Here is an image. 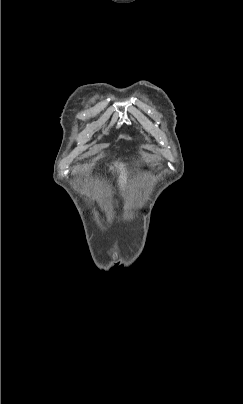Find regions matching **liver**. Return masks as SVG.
I'll return each instance as SVG.
<instances>
[{"mask_svg":"<svg viewBox=\"0 0 243 404\" xmlns=\"http://www.w3.org/2000/svg\"><path fill=\"white\" fill-rule=\"evenodd\" d=\"M116 168H118V170L120 172V176L118 178L119 186H120L122 192H124V190H126L128 174H127L126 168H124L123 164H120V166H118V164H116Z\"/></svg>","mask_w":243,"mask_h":404,"instance_id":"liver-1","label":"liver"}]
</instances>
